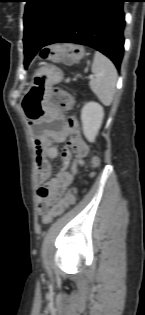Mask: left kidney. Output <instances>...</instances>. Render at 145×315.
<instances>
[{
  "label": "left kidney",
  "instance_id": "5707ae66",
  "mask_svg": "<svg viewBox=\"0 0 145 315\" xmlns=\"http://www.w3.org/2000/svg\"><path fill=\"white\" fill-rule=\"evenodd\" d=\"M104 117L103 107L96 102L86 103L81 110L83 134L89 142H94Z\"/></svg>",
  "mask_w": 145,
  "mask_h": 315
}]
</instances>
